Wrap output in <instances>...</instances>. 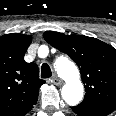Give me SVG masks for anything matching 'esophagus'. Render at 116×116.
<instances>
[{"instance_id":"1","label":"esophagus","mask_w":116,"mask_h":116,"mask_svg":"<svg viewBox=\"0 0 116 116\" xmlns=\"http://www.w3.org/2000/svg\"><path fill=\"white\" fill-rule=\"evenodd\" d=\"M51 83H53L54 85H61L62 84V81L61 79H59L57 76H54L50 79Z\"/></svg>"}]
</instances>
